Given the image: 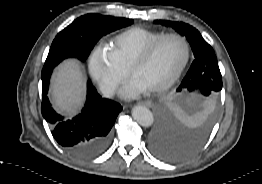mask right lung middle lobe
Returning <instances> with one entry per match:
<instances>
[{
    "label": "right lung middle lobe",
    "instance_id": "right-lung-middle-lobe-1",
    "mask_svg": "<svg viewBox=\"0 0 262 184\" xmlns=\"http://www.w3.org/2000/svg\"><path fill=\"white\" fill-rule=\"evenodd\" d=\"M132 23V19L98 14H87L77 18L55 37L42 72L53 70L62 60L69 57L85 61L102 36Z\"/></svg>",
    "mask_w": 262,
    "mask_h": 184
}]
</instances>
